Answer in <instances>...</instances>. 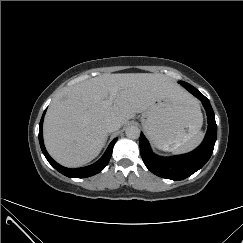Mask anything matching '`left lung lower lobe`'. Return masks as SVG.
<instances>
[{
	"label": "left lung lower lobe",
	"instance_id": "obj_1",
	"mask_svg": "<svg viewBox=\"0 0 243 243\" xmlns=\"http://www.w3.org/2000/svg\"><path fill=\"white\" fill-rule=\"evenodd\" d=\"M179 83L200 99L206 110L208 130L201 145L188 154L160 157L152 153L143 133L140 136V152L146 167L155 175L171 180H183L202 168L213 152L217 136V125L209 100L192 85L186 82Z\"/></svg>",
	"mask_w": 243,
	"mask_h": 243
}]
</instances>
